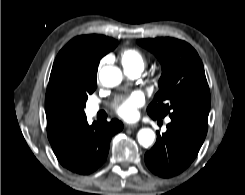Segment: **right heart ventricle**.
I'll return each instance as SVG.
<instances>
[{"label":"right heart ventricle","instance_id":"right-heart-ventricle-1","mask_svg":"<svg viewBox=\"0 0 245 195\" xmlns=\"http://www.w3.org/2000/svg\"><path fill=\"white\" fill-rule=\"evenodd\" d=\"M121 63L124 69L138 68L143 70L146 60L143 54L137 49H125L120 54Z\"/></svg>","mask_w":245,"mask_h":195}]
</instances>
